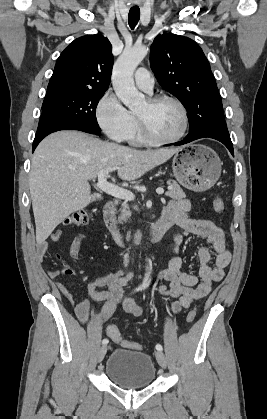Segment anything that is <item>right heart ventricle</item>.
Returning <instances> with one entry per match:
<instances>
[{
	"label": "right heart ventricle",
	"instance_id": "right-heart-ventricle-1",
	"mask_svg": "<svg viewBox=\"0 0 267 419\" xmlns=\"http://www.w3.org/2000/svg\"><path fill=\"white\" fill-rule=\"evenodd\" d=\"M133 119H134V126L133 129L129 135V137L127 138V140L134 145H139V144H144L146 142V140L143 138V136L140 133L139 127H138V123L137 120L135 118V116L132 114Z\"/></svg>",
	"mask_w": 267,
	"mask_h": 419
}]
</instances>
